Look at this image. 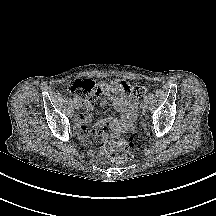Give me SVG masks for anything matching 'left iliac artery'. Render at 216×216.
Instances as JSON below:
<instances>
[{
    "label": "left iliac artery",
    "instance_id": "44dca946",
    "mask_svg": "<svg viewBox=\"0 0 216 216\" xmlns=\"http://www.w3.org/2000/svg\"><path fill=\"white\" fill-rule=\"evenodd\" d=\"M148 99H149L148 96H145V97H144V101H146V100L148 101Z\"/></svg>",
    "mask_w": 216,
    "mask_h": 216
}]
</instances>
